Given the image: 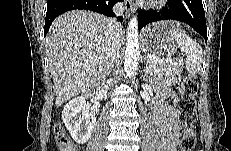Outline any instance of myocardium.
Returning a JSON list of instances; mask_svg holds the SVG:
<instances>
[{
    "instance_id": "myocardium-1",
    "label": "myocardium",
    "mask_w": 231,
    "mask_h": 151,
    "mask_svg": "<svg viewBox=\"0 0 231 151\" xmlns=\"http://www.w3.org/2000/svg\"><path fill=\"white\" fill-rule=\"evenodd\" d=\"M165 1L164 0H154V1H151L152 4L154 5H158V4H161V3H164Z\"/></svg>"
}]
</instances>
